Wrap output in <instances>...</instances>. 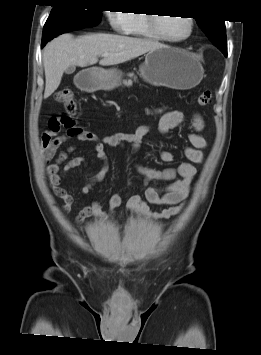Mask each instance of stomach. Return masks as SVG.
I'll return each mask as SVG.
<instances>
[{"mask_svg": "<svg viewBox=\"0 0 261 355\" xmlns=\"http://www.w3.org/2000/svg\"><path fill=\"white\" fill-rule=\"evenodd\" d=\"M204 70L201 63L185 50L163 46L149 51L140 66V75L152 85L190 89L200 83ZM116 68H93L86 71L83 87L90 90H112L121 81Z\"/></svg>", "mask_w": 261, "mask_h": 355, "instance_id": "1", "label": "stomach"}]
</instances>
